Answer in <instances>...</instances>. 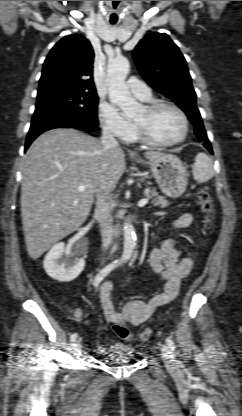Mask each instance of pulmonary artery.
Returning <instances> with one entry per match:
<instances>
[{"label": "pulmonary artery", "mask_w": 242, "mask_h": 416, "mask_svg": "<svg viewBox=\"0 0 242 416\" xmlns=\"http://www.w3.org/2000/svg\"><path fill=\"white\" fill-rule=\"evenodd\" d=\"M127 86L129 87L130 91L138 98L140 99H145L147 97H150L151 95V91L150 88L148 87V85L135 78V77H131L127 80Z\"/></svg>", "instance_id": "1"}]
</instances>
